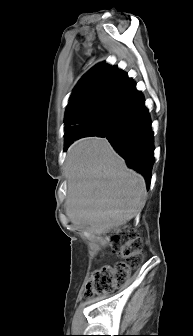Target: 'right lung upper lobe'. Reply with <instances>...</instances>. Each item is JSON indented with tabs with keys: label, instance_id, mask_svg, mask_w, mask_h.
<instances>
[{
	"label": "right lung upper lobe",
	"instance_id": "1",
	"mask_svg": "<svg viewBox=\"0 0 193 336\" xmlns=\"http://www.w3.org/2000/svg\"><path fill=\"white\" fill-rule=\"evenodd\" d=\"M132 83L127 74L105 62L90 69L80 79L70 97L65 117V145L84 137L83 133H71L72 126L104 110L113 109Z\"/></svg>",
	"mask_w": 193,
	"mask_h": 336
}]
</instances>
